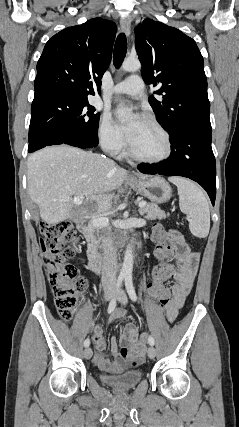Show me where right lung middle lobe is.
Masks as SVG:
<instances>
[{
    "label": "right lung middle lobe",
    "mask_w": 239,
    "mask_h": 427,
    "mask_svg": "<svg viewBox=\"0 0 239 427\" xmlns=\"http://www.w3.org/2000/svg\"><path fill=\"white\" fill-rule=\"evenodd\" d=\"M94 111L87 99L66 96L34 99L28 150L57 141L96 145L100 114Z\"/></svg>",
    "instance_id": "obj_1"
}]
</instances>
